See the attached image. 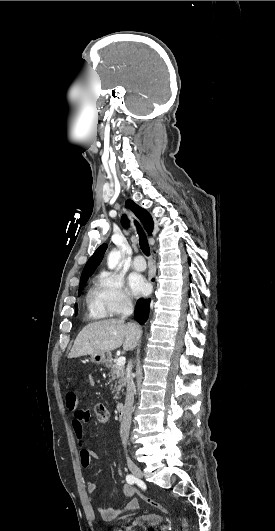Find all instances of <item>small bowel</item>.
Wrapping results in <instances>:
<instances>
[{
  "instance_id": "small-bowel-1",
  "label": "small bowel",
  "mask_w": 275,
  "mask_h": 531,
  "mask_svg": "<svg viewBox=\"0 0 275 531\" xmlns=\"http://www.w3.org/2000/svg\"><path fill=\"white\" fill-rule=\"evenodd\" d=\"M84 380L86 383L91 384L94 382L95 377L93 374L88 373L85 375ZM67 405L70 409L73 410L75 408V399L70 398L68 400ZM89 419L90 413L88 410L77 409L74 411L73 418L71 421L72 430L81 447V464L85 468L90 466L91 460L99 459V455L94 450L85 447V425L88 423ZM86 489L88 493L93 494L97 491L98 485L95 482H88L86 485ZM135 494L136 490L132 486L125 485L123 488L124 502L122 504L111 509L97 507L101 518L105 521H109L125 512L139 508L140 503L139 500L134 497Z\"/></svg>"
}]
</instances>
